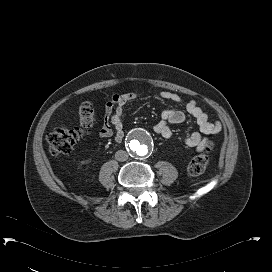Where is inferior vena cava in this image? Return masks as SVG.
Masks as SVG:
<instances>
[{"mask_svg":"<svg viewBox=\"0 0 272 272\" xmlns=\"http://www.w3.org/2000/svg\"><path fill=\"white\" fill-rule=\"evenodd\" d=\"M115 159L120 161V162L126 161L128 159V153L126 151H123V150H118L115 153Z\"/></svg>","mask_w":272,"mask_h":272,"instance_id":"obj_1","label":"inferior vena cava"}]
</instances>
